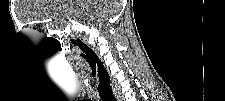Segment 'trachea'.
Masks as SVG:
<instances>
[{
  "instance_id": "trachea-1",
  "label": "trachea",
  "mask_w": 225,
  "mask_h": 101,
  "mask_svg": "<svg viewBox=\"0 0 225 101\" xmlns=\"http://www.w3.org/2000/svg\"><path fill=\"white\" fill-rule=\"evenodd\" d=\"M100 97H101L102 101H117L116 98L113 95V92H112V89H111L110 85L107 86V87H104L102 89Z\"/></svg>"
}]
</instances>
